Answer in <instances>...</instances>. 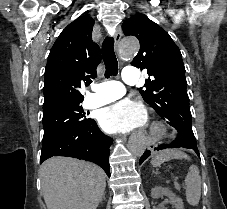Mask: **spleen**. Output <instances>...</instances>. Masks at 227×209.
I'll return each mask as SVG.
<instances>
[{"label": "spleen", "mask_w": 227, "mask_h": 209, "mask_svg": "<svg viewBox=\"0 0 227 209\" xmlns=\"http://www.w3.org/2000/svg\"><path fill=\"white\" fill-rule=\"evenodd\" d=\"M171 159H186L191 161L190 157L179 151V149H165V151H159L151 161L152 167H160L165 161H171ZM186 185V201L192 207H196L201 197V177L199 175V169L196 165H191L189 171L185 177Z\"/></svg>", "instance_id": "spleen-1"}]
</instances>
